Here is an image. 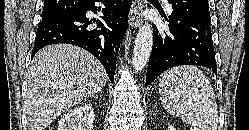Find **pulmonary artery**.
<instances>
[{"label":"pulmonary artery","mask_w":249,"mask_h":130,"mask_svg":"<svg viewBox=\"0 0 249 130\" xmlns=\"http://www.w3.org/2000/svg\"><path fill=\"white\" fill-rule=\"evenodd\" d=\"M165 2L167 1V0H164ZM169 9H171V6L169 5Z\"/></svg>","instance_id":"obj_1"}]
</instances>
